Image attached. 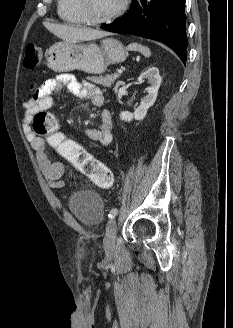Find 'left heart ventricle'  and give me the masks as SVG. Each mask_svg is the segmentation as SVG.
<instances>
[{
	"label": "left heart ventricle",
	"mask_w": 233,
	"mask_h": 328,
	"mask_svg": "<svg viewBox=\"0 0 233 328\" xmlns=\"http://www.w3.org/2000/svg\"><path fill=\"white\" fill-rule=\"evenodd\" d=\"M122 0H87L88 11L95 18L104 17L114 11Z\"/></svg>",
	"instance_id": "obj_1"
}]
</instances>
